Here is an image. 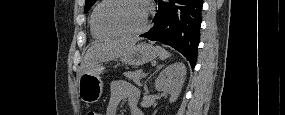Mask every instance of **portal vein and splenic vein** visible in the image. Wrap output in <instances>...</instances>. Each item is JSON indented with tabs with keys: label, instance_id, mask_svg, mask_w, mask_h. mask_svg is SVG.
Wrapping results in <instances>:
<instances>
[{
	"label": "portal vein and splenic vein",
	"instance_id": "18ae733b",
	"mask_svg": "<svg viewBox=\"0 0 285 115\" xmlns=\"http://www.w3.org/2000/svg\"><path fill=\"white\" fill-rule=\"evenodd\" d=\"M141 77H146V73L143 72V73L141 74Z\"/></svg>",
	"mask_w": 285,
	"mask_h": 115
}]
</instances>
